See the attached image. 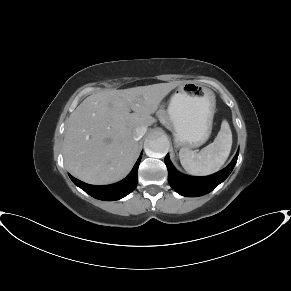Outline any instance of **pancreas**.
I'll use <instances>...</instances> for the list:
<instances>
[{
	"label": "pancreas",
	"instance_id": "pancreas-1",
	"mask_svg": "<svg viewBox=\"0 0 291 291\" xmlns=\"http://www.w3.org/2000/svg\"><path fill=\"white\" fill-rule=\"evenodd\" d=\"M160 119L163 122H167V115H166V113L163 110L160 113Z\"/></svg>",
	"mask_w": 291,
	"mask_h": 291
}]
</instances>
